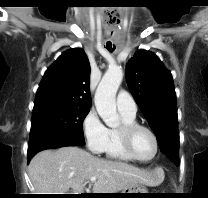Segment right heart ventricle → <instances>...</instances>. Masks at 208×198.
Masks as SVG:
<instances>
[{"instance_id":"obj_1","label":"right heart ventricle","mask_w":208,"mask_h":198,"mask_svg":"<svg viewBox=\"0 0 208 198\" xmlns=\"http://www.w3.org/2000/svg\"><path fill=\"white\" fill-rule=\"evenodd\" d=\"M123 123L136 122V116H132L123 112H120ZM103 153L108 159L121 161V162H133L134 159L128 155L123 148L118 133V128H110L107 132V141Z\"/></svg>"}]
</instances>
